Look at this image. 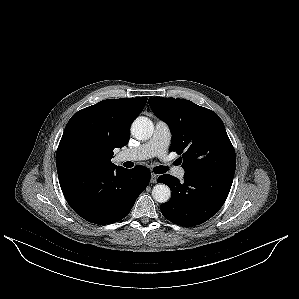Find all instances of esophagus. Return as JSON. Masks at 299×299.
I'll return each mask as SVG.
<instances>
[{
  "label": "esophagus",
  "mask_w": 299,
  "mask_h": 299,
  "mask_svg": "<svg viewBox=\"0 0 299 299\" xmlns=\"http://www.w3.org/2000/svg\"><path fill=\"white\" fill-rule=\"evenodd\" d=\"M156 181H157V175L154 174V173H151V179H150V182H151V183H156Z\"/></svg>",
  "instance_id": "34e87169"
}]
</instances>
